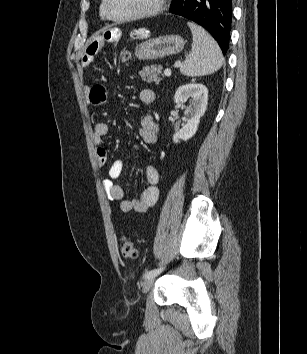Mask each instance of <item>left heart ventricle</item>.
<instances>
[{
    "instance_id": "1",
    "label": "left heart ventricle",
    "mask_w": 307,
    "mask_h": 354,
    "mask_svg": "<svg viewBox=\"0 0 307 354\" xmlns=\"http://www.w3.org/2000/svg\"><path fill=\"white\" fill-rule=\"evenodd\" d=\"M156 0H110L112 12L117 16H127L150 8Z\"/></svg>"
}]
</instances>
